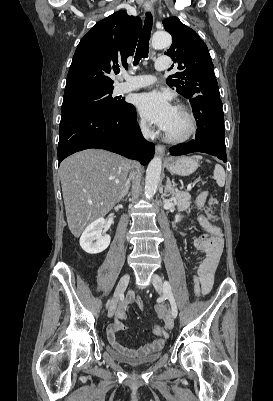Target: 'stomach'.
<instances>
[{"mask_svg": "<svg viewBox=\"0 0 273 401\" xmlns=\"http://www.w3.org/2000/svg\"><path fill=\"white\" fill-rule=\"evenodd\" d=\"M166 166L172 174H181V176H188L192 174L199 166V160L193 156H179V158H172L166 160Z\"/></svg>", "mask_w": 273, "mask_h": 401, "instance_id": "stomach-1", "label": "stomach"}]
</instances>
